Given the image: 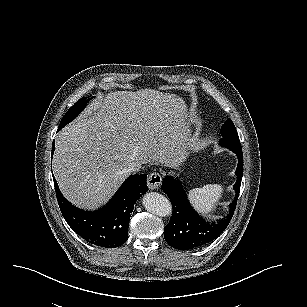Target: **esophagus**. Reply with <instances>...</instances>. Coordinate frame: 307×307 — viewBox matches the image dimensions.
I'll list each match as a JSON object with an SVG mask.
<instances>
[{
    "mask_svg": "<svg viewBox=\"0 0 307 307\" xmlns=\"http://www.w3.org/2000/svg\"><path fill=\"white\" fill-rule=\"evenodd\" d=\"M162 177L159 173H151L147 180V186L151 190L158 189L161 186Z\"/></svg>",
    "mask_w": 307,
    "mask_h": 307,
    "instance_id": "esophagus-1",
    "label": "esophagus"
}]
</instances>
